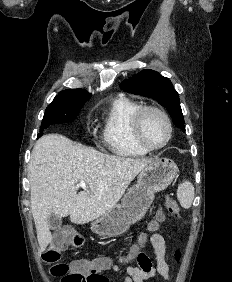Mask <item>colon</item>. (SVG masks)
<instances>
[{
  "label": "colon",
  "mask_w": 232,
  "mask_h": 282,
  "mask_svg": "<svg viewBox=\"0 0 232 282\" xmlns=\"http://www.w3.org/2000/svg\"><path fill=\"white\" fill-rule=\"evenodd\" d=\"M165 207L175 217L180 216L179 205L171 197H167ZM155 227V225H154ZM143 242V238L141 239ZM83 244V238L71 231L58 230L55 235L54 243L44 255V260L47 264L52 265L50 272L58 278L60 282H90L92 279L100 277L108 262L105 259L99 258L93 261L87 259H76L69 264L59 263L62 252L70 247H79ZM142 253L138 249H133L127 254L128 259L140 257ZM175 258L180 259V252L175 253Z\"/></svg>",
  "instance_id": "obj_1"
}]
</instances>
